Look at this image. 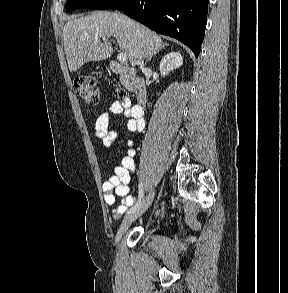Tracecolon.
I'll return each instance as SVG.
<instances>
[{"instance_id": "obj_1", "label": "colon", "mask_w": 288, "mask_h": 293, "mask_svg": "<svg viewBox=\"0 0 288 293\" xmlns=\"http://www.w3.org/2000/svg\"><path fill=\"white\" fill-rule=\"evenodd\" d=\"M74 87L77 95L89 104H97L100 99V88L97 80L90 75H82L76 78ZM116 95L122 96L124 92L117 90Z\"/></svg>"}]
</instances>
